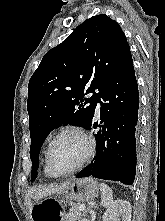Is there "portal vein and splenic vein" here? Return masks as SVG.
Instances as JSON below:
<instances>
[{
    "mask_svg": "<svg viewBox=\"0 0 165 221\" xmlns=\"http://www.w3.org/2000/svg\"><path fill=\"white\" fill-rule=\"evenodd\" d=\"M85 209H86V207L84 205L78 206V210H80V211H84Z\"/></svg>",
    "mask_w": 165,
    "mask_h": 221,
    "instance_id": "1",
    "label": "portal vein and splenic vein"
}]
</instances>
